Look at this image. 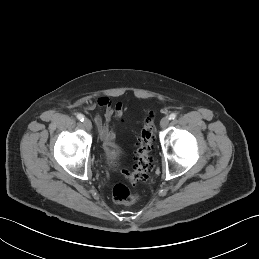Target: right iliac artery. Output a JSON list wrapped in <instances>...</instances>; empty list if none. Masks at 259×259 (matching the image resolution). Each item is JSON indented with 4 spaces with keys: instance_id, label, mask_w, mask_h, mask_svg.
<instances>
[{
    "instance_id": "82829eb1",
    "label": "right iliac artery",
    "mask_w": 259,
    "mask_h": 259,
    "mask_svg": "<svg viewBox=\"0 0 259 259\" xmlns=\"http://www.w3.org/2000/svg\"><path fill=\"white\" fill-rule=\"evenodd\" d=\"M77 118H78V120H80V121H84V115H82V114H77Z\"/></svg>"
}]
</instances>
